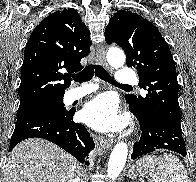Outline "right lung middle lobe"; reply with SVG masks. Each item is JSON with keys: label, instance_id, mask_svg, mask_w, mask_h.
Instances as JSON below:
<instances>
[{"label": "right lung middle lobe", "instance_id": "1", "mask_svg": "<svg viewBox=\"0 0 196 182\" xmlns=\"http://www.w3.org/2000/svg\"><path fill=\"white\" fill-rule=\"evenodd\" d=\"M67 112L64 107L63 96L53 97L20 105L18 108L17 121L38 114H62Z\"/></svg>", "mask_w": 196, "mask_h": 182}]
</instances>
